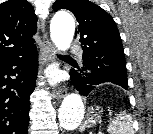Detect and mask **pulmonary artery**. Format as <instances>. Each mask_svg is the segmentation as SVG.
Here are the masks:
<instances>
[{
	"label": "pulmonary artery",
	"instance_id": "obj_1",
	"mask_svg": "<svg viewBox=\"0 0 153 134\" xmlns=\"http://www.w3.org/2000/svg\"><path fill=\"white\" fill-rule=\"evenodd\" d=\"M71 51L74 53H81V49L77 45H73Z\"/></svg>",
	"mask_w": 153,
	"mask_h": 134
}]
</instances>
